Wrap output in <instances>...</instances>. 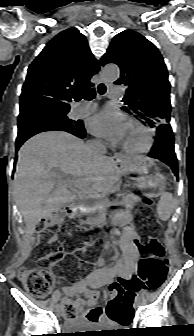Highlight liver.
<instances>
[{
  "instance_id": "liver-1",
  "label": "liver",
  "mask_w": 194,
  "mask_h": 336,
  "mask_svg": "<svg viewBox=\"0 0 194 336\" xmlns=\"http://www.w3.org/2000/svg\"><path fill=\"white\" fill-rule=\"evenodd\" d=\"M133 157H122L129 163ZM118 160L94 155L79 138L66 132L40 133L18 152L14 193L17 206L32 235L39 222L83 195H103L123 174ZM62 175L84 176L67 182Z\"/></svg>"
}]
</instances>
